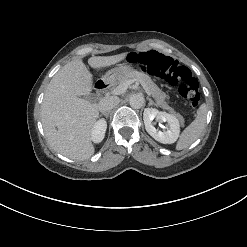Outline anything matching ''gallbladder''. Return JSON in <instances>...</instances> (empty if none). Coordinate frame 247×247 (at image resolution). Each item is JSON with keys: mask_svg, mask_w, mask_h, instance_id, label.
Returning a JSON list of instances; mask_svg holds the SVG:
<instances>
[{"mask_svg": "<svg viewBox=\"0 0 247 247\" xmlns=\"http://www.w3.org/2000/svg\"><path fill=\"white\" fill-rule=\"evenodd\" d=\"M83 99H86L88 101H91L94 99V95L92 94H89V95H85V96H82Z\"/></svg>", "mask_w": 247, "mask_h": 247, "instance_id": "1", "label": "gallbladder"}]
</instances>
